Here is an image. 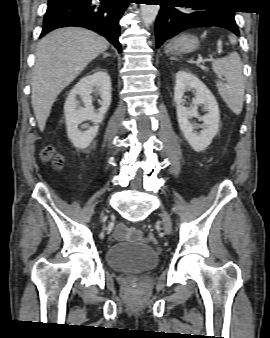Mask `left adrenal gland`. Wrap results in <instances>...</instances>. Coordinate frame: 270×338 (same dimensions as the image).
Segmentation results:
<instances>
[{
  "label": "left adrenal gland",
  "instance_id": "1",
  "mask_svg": "<svg viewBox=\"0 0 270 338\" xmlns=\"http://www.w3.org/2000/svg\"><path fill=\"white\" fill-rule=\"evenodd\" d=\"M171 60H176V58L172 57Z\"/></svg>",
  "mask_w": 270,
  "mask_h": 338
}]
</instances>
